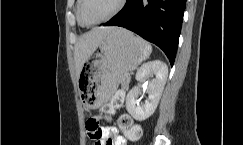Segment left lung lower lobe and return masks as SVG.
Wrapping results in <instances>:
<instances>
[{
	"mask_svg": "<svg viewBox=\"0 0 243 145\" xmlns=\"http://www.w3.org/2000/svg\"><path fill=\"white\" fill-rule=\"evenodd\" d=\"M186 0H127L104 26L129 29L160 47L173 66Z\"/></svg>",
	"mask_w": 243,
	"mask_h": 145,
	"instance_id": "obj_1",
	"label": "left lung lower lobe"
}]
</instances>
